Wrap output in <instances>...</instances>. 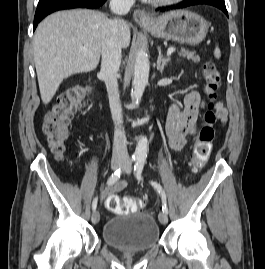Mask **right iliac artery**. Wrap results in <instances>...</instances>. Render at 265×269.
Here are the masks:
<instances>
[{
	"mask_svg": "<svg viewBox=\"0 0 265 269\" xmlns=\"http://www.w3.org/2000/svg\"><path fill=\"white\" fill-rule=\"evenodd\" d=\"M137 156H132L131 157V162H135L137 161ZM122 174V171L121 169H118L116 170L108 179L107 181V184L108 185H113L114 183H116L119 179H120V176ZM97 203H98V198L96 197L93 202H92V210H96V207H97Z\"/></svg>",
	"mask_w": 265,
	"mask_h": 269,
	"instance_id": "right-iliac-artery-1",
	"label": "right iliac artery"
}]
</instances>
